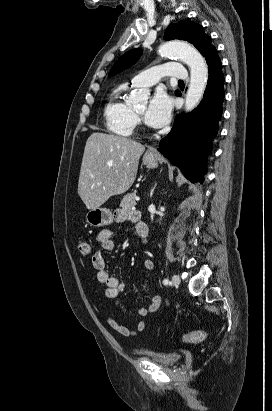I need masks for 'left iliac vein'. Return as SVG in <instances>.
<instances>
[{"label": "left iliac vein", "instance_id": "1", "mask_svg": "<svg viewBox=\"0 0 272 411\" xmlns=\"http://www.w3.org/2000/svg\"><path fill=\"white\" fill-rule=\"evenodd\" d=\"M180 282H181V279H180L179 275H173V277H172L173 285L178 286L180 284Z\"/></svg>", "mask_w": 272, "mask_h": 411}]
</instances>
